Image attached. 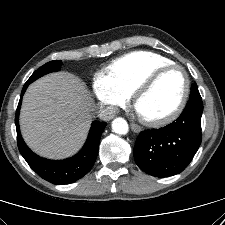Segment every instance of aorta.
<instances>
[{
  "mask_svg": "<svg viewBox=\"0 0 225 225\" xmlns=\"http://www.w3.org/2000/svg\"><path fill=\"white\" fill-rule=\"evenodd\" d=\"M113 132L126 135L129 131L128 123L124 118L118 117L112 121Z\"/></svg>",
  "mask_w": 225,
  "mask_h": 225,
  "instance_id": "obj_1",
  "label": "aorta"
}]
</instances>
